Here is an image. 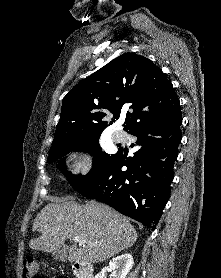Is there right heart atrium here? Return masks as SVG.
I'll return each instance as SVG.
<instances>
[{"instance_id":"1","label":"right heart atrium","mask_w":221,"mask_h":278,"mask_svg":"<svg viewBox=\"0 0 221 278\" xmlns=\"http://www.w3.org/2000/svg\"><path fill=\"white\" fill-rule=\"evenodd\" d=\"M66 163L71 173L79 177H87L93 171V163L89 153L83 149H74L68 153Z\"/></svg>"}]
</instances>
